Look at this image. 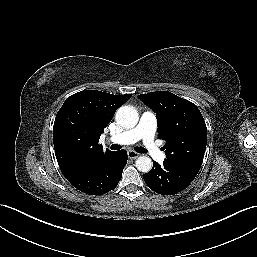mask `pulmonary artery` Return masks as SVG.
<instances>
[{"mask_svg":"<svg viewBox=\"0 0 257 257\" xmlns=\"http://www.w3.org/2000/svg\"><path fill=\"white\" fill-rule=\"evenodd\" d=\"M156 129V115L151 111H145L142 113L136 127L110 137L109 141L120 145H130L141 140L148 154L154 160L163 162L165 154L157 147L154 141Z\"/></svg>","mask_w":257,"mask_h":257,"instance_id":"obj_1","label":"pulmonary artery"}]
</instances>
